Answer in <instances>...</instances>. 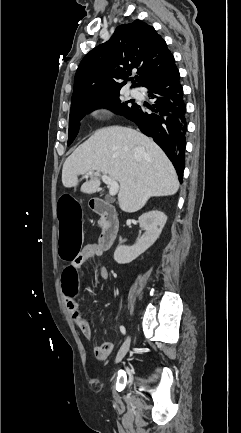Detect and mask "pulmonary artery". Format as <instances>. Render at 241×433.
Here are the masks:
<instances>
[{
	"mask_svg": "<svg viewBox=\"0 0 241 433\" xmlns=\"http://www.w3.org/2000/svg\"><path fill=\"white\" fill-rule=\"evenodd\" d=\"M130 94L132 95V96H138L139 95V91L137 90V89H131L130 90Z\"/></svg>",
	"mask_w": 241,
	"mask_h": 433,
	"instance_id": "1",
	"label": "pulmonary artery"
}]
</instances>
